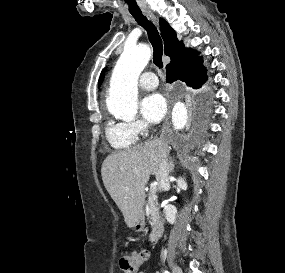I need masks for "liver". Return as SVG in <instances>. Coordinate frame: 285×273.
<instances>
[{
    "label": "liver",
    "instance_id": "6515ba94",
    "mask_svg": "<svg viewBox=\"0 0 285 273\" xmlns=\"http://www.w3.org/2000/svg\"><path fill=\"white\" fill-rule=\"evenodd\" d=\"M168 153L167 141L153 140L105 158L101 168L102 180L128 227L139 221L145 186L150 175L157 176L160 161Z\"/></svg>",
    "mask_w": 285,
    "mask_h": 273
}]
</instances>
